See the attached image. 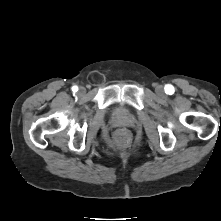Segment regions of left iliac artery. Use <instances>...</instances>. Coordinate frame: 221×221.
<instances>
[{"label": "left iliac artery", "instance_id": "obj_1", "mask_svg": "<svg viewBox=\"0 0 221 221\" xmlns=\"http://www.w3.org/2000/svg\"><path fill=\"white\" fill-rule=\"evenodd\" d=\"M165 92H166V94H169V95L173 94L174 93V87L172 85H166L165 86Z\"/></svg>", "mask_w": 221, "mask_h": 221}]
</instances>
